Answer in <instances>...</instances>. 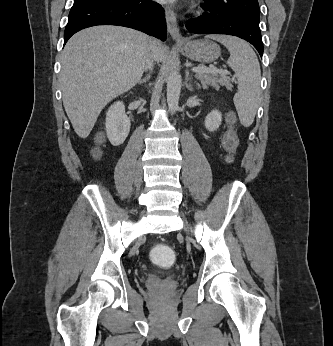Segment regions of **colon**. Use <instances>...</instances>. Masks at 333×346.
Instances as JSON below:
<instances>
[{
	"mask_svg": "<svg viewBox=\"0 0 333 346\" xmlns=\"http://www.w3.org/2000/svg\"><path fill=\"white\" fill-rule=\"evenodd\" d=\"M233 121V116H230V125L222 137V144L224 150L226 151L228 161L233 160L239 143L237 133L233 127ZM93 154L97 157L99 155V152L95 150ZM151 257L153 260H155L156 268H173L175 253L173 252V249H170V244H155V247L152 250Z\"/></svg>",
	"mask_w": 333,
	"mask_h": 346,
	"instance_id": "obj_1",
	"label": "colon"
}]
</instances>
